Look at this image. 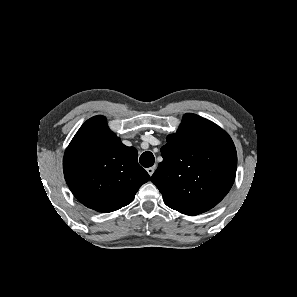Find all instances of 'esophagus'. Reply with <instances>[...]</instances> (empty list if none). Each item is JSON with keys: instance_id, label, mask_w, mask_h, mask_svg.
Here are the masks:
<instances>
[{"instance_id": "1", "label": "esophagus", "mask_w": 297, "mask_h": 297, "mask_svg": "<svg viewBox=\"0 0 297 297\" xmlns=\"http://www.w3.org/2000/svg\"><path fill=\"white\" fill-rule=\"evenodd\" d=\"M146 170H147L148 174H149L150 176H152V174H153L154 171H155V167H149V168H147Z\"/></svg>"}]
</instances>
